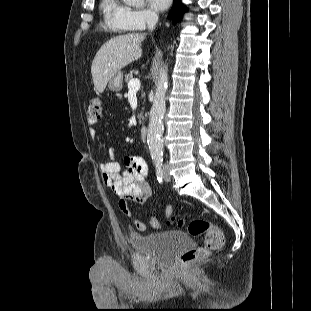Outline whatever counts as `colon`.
<instances>
[{"label": "colon", "instance_id": "obj_1", "mask_svg": "<svg viewBox=\"0 0 311 311\" xmlns=\"http://www.w3.org/2000/svg\"><path fill=\"white\" fill-rule=\"evenodd\" d=\"M87 118L90 121H99L103 118V105L100 99L92 98L89 101ZM169 221L176 223L179 227L186 224L184 218L174 216H169ZM188 232L193 237L204 236L205 244L202 247H195L183 253L180 259L181 266H189L202 260L208 257L211 252L217 251L224 246L225 237L222 230L205 219H192L188 223Z\"/></svg>", "mask_w": 311, "mask_h": 311}]
</instances>
